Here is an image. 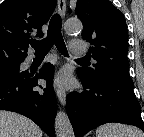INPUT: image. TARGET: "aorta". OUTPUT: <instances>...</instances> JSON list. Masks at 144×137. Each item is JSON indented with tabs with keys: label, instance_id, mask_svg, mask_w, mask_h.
<instances>
[{
	"label": "aorta",
	"instance_id": "aorta-1",
	"mask_svg": "<svg viewBox=\"0 0 144 137\" xmlns=\"http://www.w3.org/2000/svg\"><path fill=\"white\" fill-rule=\"evenodd\" d=\"M82 29V23L79 20L69 19L65 23L66 32L73 33ZM55 132L57 137H74V131L67 114L58 111L55 117Z\"/></svg>",
	"mask_w": 144,
	"mask_h": 137
}]
</instances>
